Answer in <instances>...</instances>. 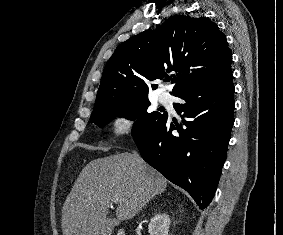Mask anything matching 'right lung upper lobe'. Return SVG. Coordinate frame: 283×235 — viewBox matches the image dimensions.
<instances>
[{"instance_id":"right-lung-upper-lobe-1","label":"right lung upper lobe","mask_w":283,"mask_h":235,"mask_svg":"<svg viewBox=\"0 0 283 235\" xmlns=\"http://www.w3.org/2000/svg\"><path fill=\"white\" fill-rule=\"evenodd\" d=\"M232 54L226 36L205 17L176 15L161 27L146 30L121 43L108 60L96 103L148 96L157 79L176 72L173 95L230 73Z\"/></svg>"}]
</instances>
